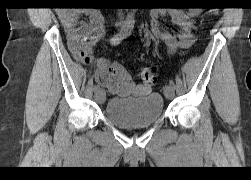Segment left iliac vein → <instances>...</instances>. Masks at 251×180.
I'll return each instance as SVG.
<instances>
[{"mask_svg": "<svg viewBox=\"0 0 251 180\" xmlns=\"http://www.w3.org/2000/svg\"><path fill=\"white\" fill-rule=\"evenodd\" d=\"M164 95L166 98L168 99H172L175 95V92H174V87L171 86V85H166L164 87Z\"/></svg>", "mask_w": 251, "mask_h": 180, "instance_id": "4c4485c4", "label": "left iliac vein"}]
</instances>
